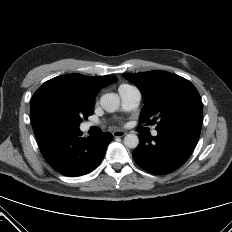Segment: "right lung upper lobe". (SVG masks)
I'll use <instances>...</instances> for the list:
<instances>
[{
    "mask_svg": "<svg viewBox=\"0 0 232 232\" xmlns=\"http://www.w3.org/2000/svg\"><path fill=\"white\" fill-rule=\"evenodd\" d=\"M115 76H85L82 74H68L55 77L45 82L33 95L34 100L42 91L50 88L66 87L78 90L82 97L90 104L95 103V97L101 88L115 82ZM35 132V131H34ZM38 134L35 132V135Z\"/></svg>",
    "mask_w": 232,
    "mask_h": 232,
    "instance_id": "obj_1",
    "label": "right lung upper lobe"
}]
</instances>
